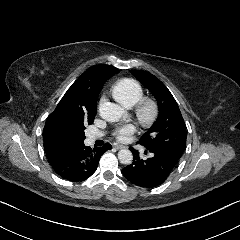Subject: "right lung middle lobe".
I'll list each match as a JSON object with an SVG mask.
<instances>
[{
  "label": "right lung middle lobe",
  "instance_id": "dd1d6c3e",
  "mask_svg": "<svg viewBox=\"0 0 240 240\" xmlns=\"http://www.w3.org/2000/svg\"><path fill=\"white\" fill-rule=\"evenodd\" d=\"M94 118L71 117L65 119L60 127V138L69 145H80L85 139V126L92 124Z\"/></svg>",
  "mask_w": 240,
  "mask_h": 240
}]
</instances>
